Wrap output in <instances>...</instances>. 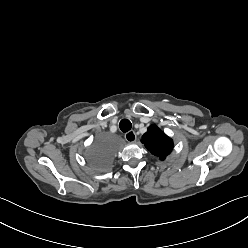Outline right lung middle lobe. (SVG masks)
<instances>
[{"instance_id":"1","label":"right lung middle lobe","mask_w":248,"mask_h":248,"mask_svg":"<svg viewBox=\"0 0 248 248\" xmlns=\"http://www.w3.org/2000/svg\"><path fill=\"white\" fill-rule=\"evenodd\" d=\"M85 156L93 168L103 169L109 163L112 152L105 142L98 141L85 151Z\"/></svg>"}]
</instances>
